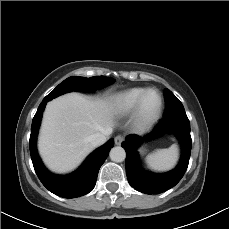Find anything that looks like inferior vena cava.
<instances>
[{
    "label": "inferior vena cava",
    "instance_id": "602c4592",
    "mask_svg": "<svg viewBox=\"0 0 229 229\" xmlns=\"http://www.w3.org/2000/svg\"><path fill=\"white\" fill-rule=\"evenodd\" d=\"M112 133V129H106L101 133H95L89 137V141L93 147L104 144L107 140V136Z\"/></svg>",
    "mask_w": 229,
    "mask_h": 229
}]
</instances>
